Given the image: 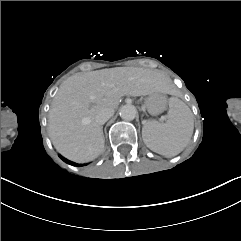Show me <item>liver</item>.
<instances>
[{"label":"liver","instance_id":"liver-1","mask_svg":"<svg viewBox=\"0 0 241 241\" xmlns=\"http://www.w3.org/2000/svg\"><path fill=\"white\" fill-rule=\"evenodd\" d=\"M167 85L163 72L133 67L75 74L60 85L52 101L48 118L51 141L72 161H92L104 150L96 115L104 109L114 112L124 96L166 93Z\"/></svg>","mask_w":241,"mask_h":241}]
</instances>
